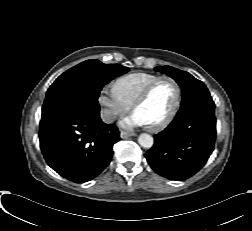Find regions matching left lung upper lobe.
<instances>
[{
	"instance_id": "obj_1",
	"label": "left lung upper lobe",
	"mask_w": 252,
	"mask_h": 231,
	"mask_svg": "<svg viewBox=\"0 0 252 231\" xmlns=\"http://www.w3.org/2000/svg\"><path fill=\"white\" fill-rule=\"evenodd\" d=\"M155 70L172 77L182 87L181 106L194 100L212 99L205 84L194 78L188 72L176 69L171 66L156 67Z\"/></svg>"
}]
</instances>
